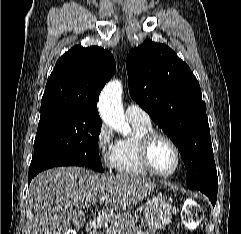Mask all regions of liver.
Instances as JSON below:
<instances>
[{"mask_svg":"<svg viewBox=\"0 0 241 234\" xmlns=\"http://www.w3.org/2000/svg\"><path fill=\"white\" fill-rule=\"evenodd\" d=\"M156 183L135 175H103L82 167L53 168L32 179L28 199L33 204L32 234H67L82 208L102 197L113 219L146 198ZM117 212V215L115 214Z\"/></svg>","mask_w":241,"mask_h":234,"instance_id":"liver-1","label":"liver"}]
</instances>
